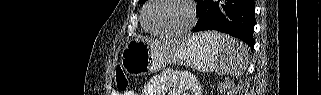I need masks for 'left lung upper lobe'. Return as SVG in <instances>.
I'll list each match as a JSON object with an SVG mask.
<instances>
[{
  "label": "left lung upper lobe",
  "mask_w": 321,
  "mask_h": 95,
  "mask_svg": "<svg viewBox=\"0 0 321 95\" xmlns=\"http://www.w3.org/2000/svg\"><path fill=\"white\" fill-rule=\"evenodd\" d=\"M145 2H146V0H139V3H141V4H143Z\"/></svg>",
  "instance_id": "5c2ea615"
}]
</instances>
